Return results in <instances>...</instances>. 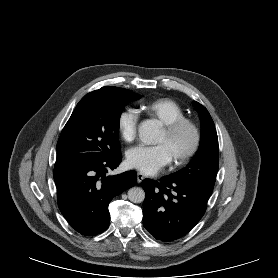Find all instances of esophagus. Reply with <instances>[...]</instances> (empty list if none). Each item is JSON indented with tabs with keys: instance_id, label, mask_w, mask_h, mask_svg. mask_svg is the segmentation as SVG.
Masks as SVG:
<instances>
[{
	"instance_id": "esophagus-1",
	"label": "esophagus",
	"mask_w": 278,
	"mask_h": 278,
	"mask_svg": "<svg viewBox=\"0 0 278 278\" xmlns=\"http://www.w3.org/2000/svg\"><path fill=\"white\" fill-rule=\"evenodd\" d=\"M143 179H144L143 174H142V173H138V174H137V182H138V183H141V182L143 181Z\"/></svg>"
}]
</instances>
